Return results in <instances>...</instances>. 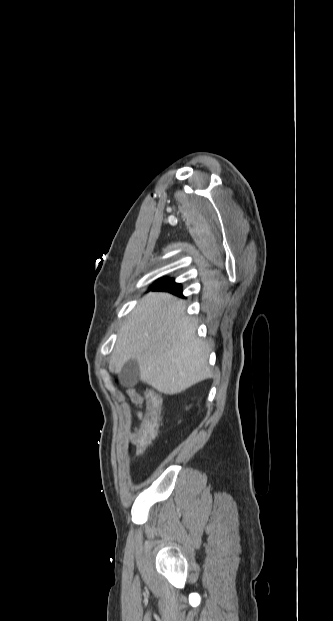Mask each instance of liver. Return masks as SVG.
Returning a JSON list of instances; mask_svg holds the SVG:
<instances>
[{"label":"liver","mask_w":333,"mask_h":621,"mask_svg":"<svg viewBox=\"0 0 333 621\" xmlns=\"http://www.w3.org/2000/svg\"><path fill=\"white\" fill-rule=\"evenodd\" d=\"M185 309L184 302L172 294L149 293L118 332L110 367L120 372L134 359L140 380L168 395L210 377V348L197 338L196 324Z\"/></svg>","instance_id":"6515ba94"}]
</instances>
